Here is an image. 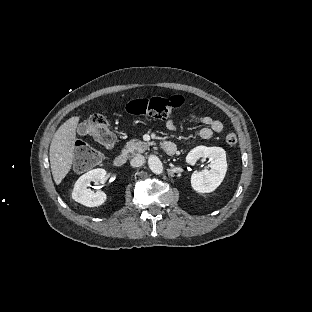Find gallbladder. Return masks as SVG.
<instances>
[{"label": "gallbladder", "mask_w": 312, "mask_h": 312, "mask_svg": "<svg viewBox=\"0 0 312 312\" xmlns=\"http://www.w3.org/2000/svg\"><path fill=\"white\" fill-rule=\"evenodd\" d=\"M88 124L87 123H80L78 125V129L77 132L80 136H85L86 134H88Z\"/></svg>", "instance_id": "obj_1"}]
</instances>
